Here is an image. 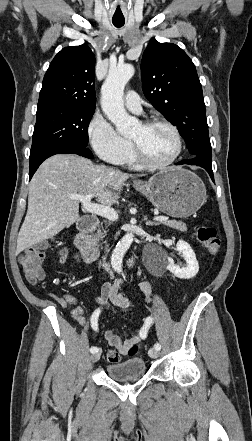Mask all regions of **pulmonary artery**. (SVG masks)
Listing matches in <instances>:
<instances>
[{
  "label": "pulmonary artery",
  "instance_id": "1",
  "mask_svg": "<svg viewBox=\"0 0 252 441\" xmlns=\"http://www.w3.org/2000/svg\"><path fill=\"white\" fill-rule=\"evenodd\" d=\"M124 104L127 109L132 112L139 113L142 110L141 99L135 91H129L124 99Z\"/></svg>",
  "mask_w": 252,
  "mask_h": 441
}]
</instances>
